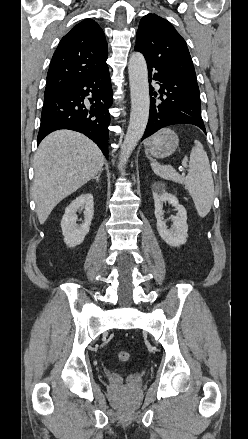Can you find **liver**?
<instances>
[{
  "label": "liver",
  "mask_w": 248,
  "mask_h": 439,
  "mask_svg": "<svg viewBox=\"0 0 248 439\" xmlns=\"http://www.w3.org/2000/svg\"><path fill=\"white\" fill-rule=\"evenodd\" d=\"M103 165L101 150L81 133L59 130L45 137L34 156L32 186L40 224L59 202L95 178Z\"/></svg>",
  "instance_id": "obj_1"
}]
</instances>
